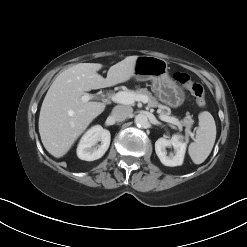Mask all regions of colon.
<instances>
[{
	"mask_svg": "<svg viewBox=\"0 0 247 247\" xmlns=\"http://www.w3.org/2000/svg\"><path fill=\"white\" fill-rule=\"evenodd\" d=\"M174 79L186 90H188L196 100L199 107H205L206 97L202 85L183 72H177L174 75Z\"/></svg>",
	"mask_w": 247,
	"mask_h": 247,
	"instance_id": "1",
	"label": "colon"
}]
</instances>
